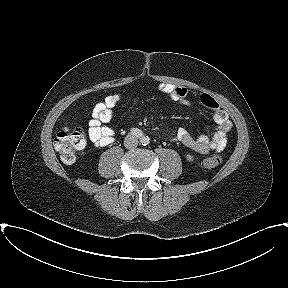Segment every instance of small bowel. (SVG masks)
I'll return each instance as SVG.
<instances>
[{
	"label": "small bowel",
	"mask_w": 288,
	"mask_h": 288,
	"mask_svg": "<svg viewBox=\"0 0 288 288\" xmlns=\"http://www.w3.org/2000/svg\"><path fill=\"white\" fill-rule=\"evenodd\" d=\"M158 89L177 103L182 105L191 103L188 90L183 86L160 83ZM121 98L122 95L119 93L109 95L93 108L92 118L88 123V135L95 146L105 147L114 142L115 132L106 124L111 121L114 108ZM198 101L211 112L217 126L215 132L211 137L202 134L194 138L188 130L180 128L174 140L200 154H208L211 151L220 152L226 146L227 134L232 128V123L225 109L210 95L201 94Z\"/></svg>",
	"instance_id": "obj_1"
}]
</instances>
